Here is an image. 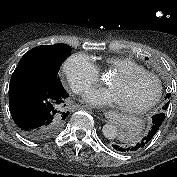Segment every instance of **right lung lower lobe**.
<instances>
[{
	"label": "right lung lower lobe",
	"mask_w": 177,
	"mask_h": 177,
	"mask_svg": "<svg viewBox=\"0 0 177 177\" xmlns=\"http://www.w3.org/2000/svg\"><path fill=\"white\" fill-rule=\"evenodd\" d=\"M66 90L49 83L15 81L9 85V109L20 132L33 140L50 138L62 129L69 111Z\"/></svg>",
	"instance_id": "1"
}]
</instances>
